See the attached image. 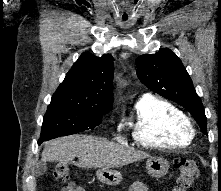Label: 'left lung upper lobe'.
<instances>
[{
  "mask_svg": "<svg viewBox=\"0 0 221 191\" xmlns=\"http://www.w3.org/2000/svg\"><path fill=\"white\" fill-rule=\"evenodd\" d=\"M137 76L150 90L174 101L195 118L207 134V118L203 104L181 60L168 48L136 59Z\"/></svg>",
  "mask_w": 221,
  "mask_h": 191,
  "instance_id": "obj_1",
  "label": "left lung upper lobe"
}]
</instances>
